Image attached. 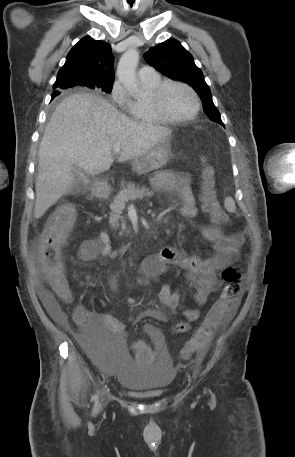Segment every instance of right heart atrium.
<instances>
[{
	"instance_id": "d8ad5b80",
	"label": "right heart atrium",
	"mask_w": 295,
	"mask_h": 457,
	"mask_svg": "<svg viewBox=\"0 0 295 457\" xmlns=\"http://www.w3.org/2000/svg\"><path fill=\"white\" fill-rule=\"evenodd\" d=\"M112 101L123 111L130 112L132 108V100L123 88V86L116 81L110 92Z\"/></svg>"
}]
</instances>
